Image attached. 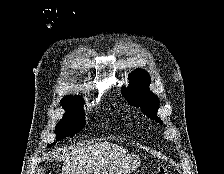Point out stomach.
<instances>
[{"label":"stomach","mask_w":224,"mask_h":174,"mask_svg":"<svg viewBox=\"0 0 224 174\" xmlns=\"http://www.w3.org/2000/svg\"><path fill=\"white\" fill-rule=\"evenodd\" d=\"M139 164L137 156L127 155L123 159L113 162L91 174H131V172L138 168Z\"/></svg>","instance_id":"1"}]
</instances>
